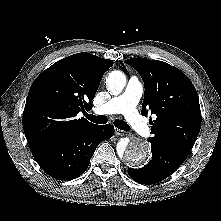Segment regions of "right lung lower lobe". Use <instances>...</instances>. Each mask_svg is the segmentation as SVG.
<instances>
[{"label": "right lung lower lobe", "instance_id": "98d812e1", "mask_svg": "<svg viewBox=\"0 0 221 221\" xmlns=\"http://www.w3.org/2000/svg\"><path fill=\"white\" fill-rule=\"evenodd\" d=\"M113 134L114 127L111 124L94 125L34 149L32 154L48 175L58 180H71L84 173L98 144L111 138Z\"/></svg>", "mask_w": 221, "mask_h": 221}]
</instances>
